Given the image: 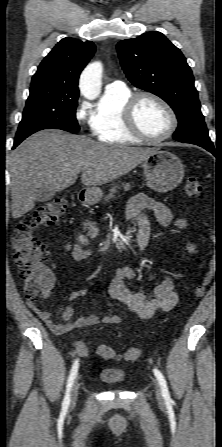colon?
I'll list each match as a JSON object with an SVG mask.
<instances>
[{"label":"colon","instance_id":"obj_1","mask_svg":"<svg viewBox=\"0 0 222 447\" xmlns=\"http://www.w3.org/2000/svg\"><path fill=\"white\" fill-rule=\"evenodd\" d=\"M189 197L200 199L203 188L195 177L188 178L185 186ZM66 198L59 197L48 201L42 208L24 217L14 230L11 246L13 261L18 268L19 276L24 282V292L27 302H37L45 286L50 282L51 272L45 266L50 256L49 246L34 236V231L40 227L50 226L62 221L67 210ZM216 270V261L212 256L208 262L207 270L194 291V298L204 296ZM97 354L106 360L123 358L126 361H135L140 356L137 347H130L122 355L113 348L101 344L96 349Z\"/></svg>","mask_w":222,"mask_h":447}]
</instances>
